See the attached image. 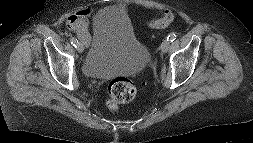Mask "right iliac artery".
Listing matches in <instances>:
<instances>
[{"mask_svg":"<svg viewBox=\"0 0 253 143\" xmlns=\"http://www.w3.org/2000/svg\"><path fill=\"white\" fill-rule=\"evenodd\" d=\"M70 41H71V44H72L74 47H77V44H78L79 42H78V40H77L75 37H72V38L70 39Z\"/></svg>","mask_w":253,"mask_h":143,"instance_id":"obj_1","label":"right iliac artery"}]
</instances>
